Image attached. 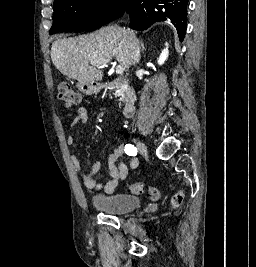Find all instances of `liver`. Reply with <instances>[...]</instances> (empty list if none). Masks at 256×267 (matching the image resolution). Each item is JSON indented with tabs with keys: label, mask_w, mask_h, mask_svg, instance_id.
<instances>
[{
	"label": "liver",
	"mask_w": 256,
	"mask_h": 267,
	"mask_svg": "<svg viewBox=\"0 0 256 267\" xmlns=\"http://www.w3.org/2000/svg\"><path fill=\"white\" fill-rule=\"evenodd\" d=\"M116 26H105L93 34L87 36H77V38H65L56 40L51 48V60L64 76L73 78L83 84L89 82H100L104 74L101 68H96L95 62H110L116 58L119 66L130 68L131 46L137 40L134 32Z\"/></svg>",
	"instance_id": "6515ba94"
}]
</instances>
